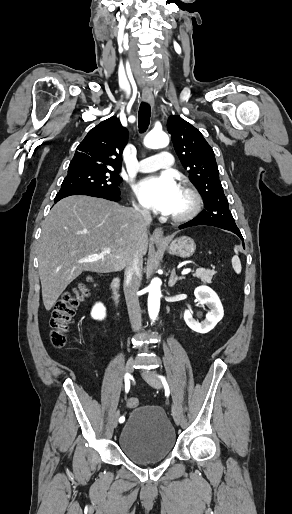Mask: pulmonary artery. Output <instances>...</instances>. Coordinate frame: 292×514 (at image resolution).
Wrapping results in <instances>:
<instances>
[{
    "label": "pulmonary artery",
    "mask_w": 292,
    "mask_h": 514,
    "mask_svg": "<svg viewBox=\"0 0 292 514\" xmlns=\"http://www.w3.org/2000/svg\"><path fill=\"white\" fill-rule=\"evenodd\" d=\"M140 162L143 163H137L135 168L137 170L141 169V172H160L161 170L164 172H169L175 165V158L172 156L170 151L160 150L156 151L154 156L145 157L144 161L141 160Z\"/></svg>",
    "instance_id": "e3ab8cb5"
}]
</instances>
